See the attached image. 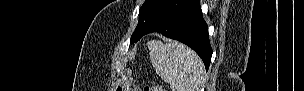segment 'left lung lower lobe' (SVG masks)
Masks as SVG:
<instances>
[{"instance_id": "0a47b994", "label": "left lung lower lobe", "mask_w": 304, "mask_h": 91, "mask_svg": "<svg viewBox=\"0 0 304 91\" xmlns=\"http://www.w3.org/2000/svg\"><path fill=\"white\" fill-rule=\"evenodd\" d=\"M152 32L162 33L165 37L188 45L201 57L206 70L209 68L212 49L200 0H171L142 36Z\"/></svg>"}]
</instances>
